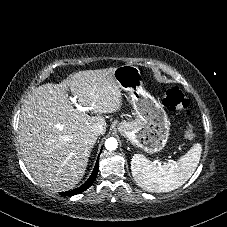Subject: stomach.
Masks as SVG:
<instances>
[{
  "label": "stomach",
  "instance_id": "stomach-1",
  "mask_svg": "<svg viewBox=\"0 0 227 227\" xmlns=\"http://www.w3.org/2000/svg\"><path fill=\"white\" fill-rule=\"evenodd\" d=\"M113 76L120 89L128 92L136 113L132 121L123 120L118 131L129 143L153 154L161 151L169 137L170 121L163 108L143 87V75L137 66L116 67Z\"/></svg>",
  "mask_w": 227,
  "mask_h": 227
}]
</instances>
